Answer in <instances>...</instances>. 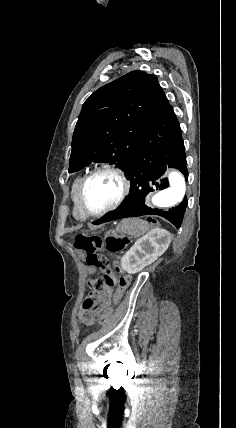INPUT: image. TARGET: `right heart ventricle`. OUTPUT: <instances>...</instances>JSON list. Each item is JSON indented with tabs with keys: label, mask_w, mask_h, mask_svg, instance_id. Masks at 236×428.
Returning a JSON list of instances; mask_svg holds the SVG:
<instances>
[{
	"label": "right heart ventricle",
	"mask_w": 236,
	"mask_h": 428,
	"mask_svg": "<svg viewBox=\"0 0 236 428\" xmlns=\"http://www.w3.org/2000/svg\"><path fill=\"white\" fill-rule=\"evenodd\" d=\"M83 179V175L76 176L73 182L70 185V198L73 205V214L74 216L81 221H84L88 218V215L81 208L78 190L81 180Z\"/></svg>",
	"instance_id": "e07e8e85"
}]
</instances>
